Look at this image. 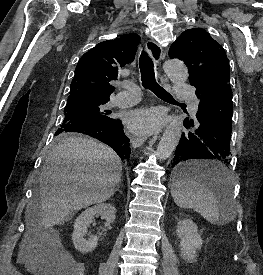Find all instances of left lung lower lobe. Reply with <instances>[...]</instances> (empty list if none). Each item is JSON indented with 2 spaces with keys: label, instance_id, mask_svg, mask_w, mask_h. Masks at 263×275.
<instances>
[{
  "label": "left lung lower lobe",
  "instance_id": "obj_1",
  "mask_svg": "<svg viewBox=\"0 0 263 275\" xmlns=\"http://www.w3.org/2000/svg\"><path fill=\"white\" fill-rule=\"evenodd\" d=\"M191 85L196 87L195 93L200 100L196 114L199 123L195 129L182 133L172 167L177 165L175 177L178 179H193L217 186L224 180L221 172L198 167L190 161L213 159L222 163L221 165L230 163L232 89L229 83L225 82L204 88ZM184 125L188 129L194 127V122L186 118Z\"/></svg>",
  "mask_w": 263,
  "mask_h": 275
}]
</instances>
